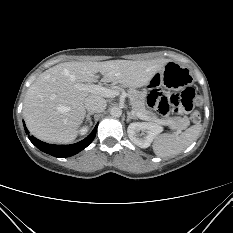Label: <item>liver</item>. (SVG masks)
Instances as JSON below:
<instances>
[{"label": "liver", "mask_w": 233, "mask_h": 233, "mask_svg": "<svg viewBox=\"0 0 233 233\" xmlns=\"http://www.w3.org/2000/svg\"><path fill=\"white\" fill-rule=\"evenodd\" d=\"M168 62L110 60L55 65L40 74L27 90L23 106L27 128L42 141L68 144L77 137L85 118V99L104 97L84 89L97 81V73H101L103 82L140 88L149 84Z\"/></svg>", "instance_id": "liver-1"}]
</instances>
